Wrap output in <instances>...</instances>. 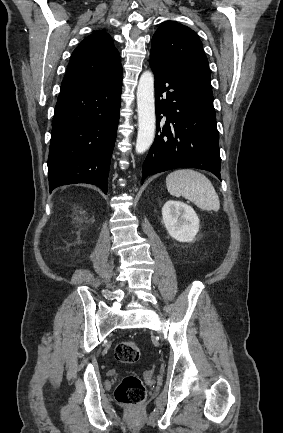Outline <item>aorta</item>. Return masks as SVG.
I'll list each match as a JSON object with an SVG mask.
<instances>
[{
	"label": "aorta",
	"mask_w": 283,
	"mask_h": 433,
	"mask_svg": "<svg viewBox=\"0 0 283 433\" xmlns=\"http://www.w3.org/2000/svg\"><path fill=\"white\" fill-rule=\"evenodd\" d=\"M138 134L135 150L138 154L150 148L155 137L156 116L154 99V75L144 72L137 87Z\"/></svg>",
	"instance_id": "1"
}]
</instances>
